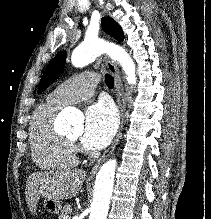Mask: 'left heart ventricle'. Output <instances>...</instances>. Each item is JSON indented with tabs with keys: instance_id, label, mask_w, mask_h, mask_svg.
I'll list each match as a JSON object with an SVG mask.
<instances>
[{
	"instance_id": "obj_1",
	"label": "left heart ventricle",
	"mask_w": 211,
	"mask_h": 219,
	"mask_svg": "<svg viewBox=\"0 0 211 219\" xmlns=\"http://www.w3.org/2000/svg\"><path fill=\"white\" fill-rule=\"evenodd\" d=\"M80 134H81V132L77 131V132L69 134V137L76 140L79 138Z\"/></svg>"
}]
</instances>
